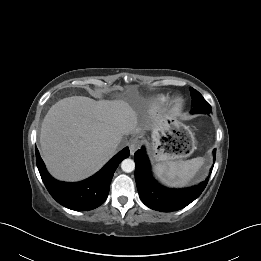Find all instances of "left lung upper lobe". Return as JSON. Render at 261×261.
Listing matches in <instances>:
<instances>
[{
  "label": "left lung upper lobe",
  "instance_id": "1",
  "mask_svg": "<svg viewBox=\"0 0 261 261\" xmlns=\"http://www.w3.org/2000/svg\"><path fill=\"white\" fill-rule=\"evenodd\" d=\"M191 97L193 99V108L191 109V113H203L210 114L211 106L210 104L203 98V96L195 89L190 88Z\"/></svg>",
  "mask_w": 261,
  "mask_h": 261
}]
</instances>
